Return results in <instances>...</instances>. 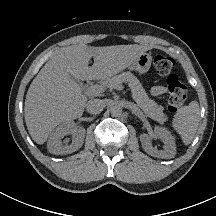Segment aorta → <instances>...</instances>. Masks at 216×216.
Listing matches in <instances>:
<instances>
[{"mask_svg": "<svg viewBox=\"0 0 216 216\" xmlns=\"http://www.w3.org/2000/svg\"><path fill=\"white\" fill-rule=\"evenodd\" d=\"M110 110L113 117H118L122 115V108L118 105L112 106Z\"/></svg>", "mask_w": 216, "mask_h": 216, "instance_id": "1", "label": "aorta"}]
</instances>
